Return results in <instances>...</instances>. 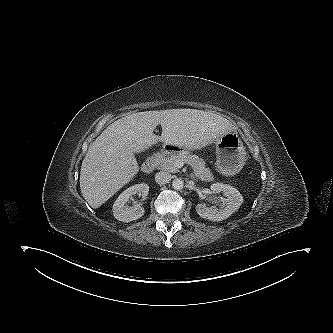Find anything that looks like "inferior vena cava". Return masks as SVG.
<instances>
[{
	"mask_svg": "<svg viewBox=\"0 0 333 333\" xmlns=\"http://www.w3.org/2000/svg\"><path fill=\"white\" fill-rule=\"evenodd\" d=\"M172 179V176L169 172L160 171L155 175V181L158 184H166Z\"/></svg>",
	"mask_w": 333,
	"mask_h": 333,
	"instance_id": "1",
	"label": "inferior vena cava"
}]
</instances>
